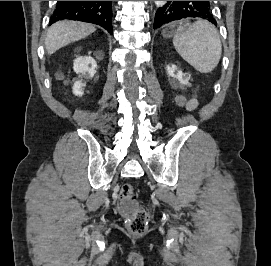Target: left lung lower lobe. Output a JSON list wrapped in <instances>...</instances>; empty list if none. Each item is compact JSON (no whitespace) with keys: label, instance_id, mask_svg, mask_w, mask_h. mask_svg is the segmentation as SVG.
Returning a JSON list of instances; mask_svg holds the SVG:
<instances>
[{"label":"left lung lower lobe","instance_id":"1","mask_svg":"<svg viewBox=\"0 0 271 266\" xmlns=\"http://www.w3.org/2000/svg\"><path fill=\"white\" fill-rule=\"evenodd\" d=\"M187 17H199L213 23L215 26L217 25L211 11L210 1H167L156 12L154 29L174 20Z\"/></svg>","mask_w":271,"mask_h":266}]
</instances>
